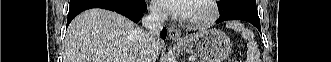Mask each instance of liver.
Wrapping results in <instances>:
<instances>
[{"mask_svg": "<svg viewBox=\"0 0 331 62\" xmlns=\"http://www.w3.org/2000/svg\"><path fill=\"white\" fill-rule=\"evenodd\" d=\"M142 30L129 19L99 8L82 12L70 23L63 62H136ZM162 45H153V62Z\"/></svg>", "mask_w": 331, "mask_h": 62, "instance_id": "6515ba94", "label": "liver"}]
</instances>
